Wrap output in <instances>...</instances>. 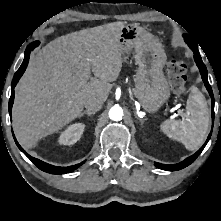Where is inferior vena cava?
I'll list each match as a JSON object with an SVG mask.
<instances>
[{
	"mask_svg": "<svg viewBox=\"0 0 221 221\" xmlns=\"http://www.w3.org/2000/svg\"><path fill=\"white\" fill-rule=\"evenodd\" d=\"M104 101L101 98L98 97H91L85 102V107L89 111H98L102 108Z\"/></svg>",
	"mask_w": 221,
	"mask_h": 221,
	"instance_id": "602c4592",
	"label": "inferior vena cava"
}]
</instances>
